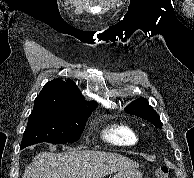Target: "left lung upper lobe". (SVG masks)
<instances>
[{"mask_svg": "<svg viewBox=\"0 0 194 178\" xmlns=\"http://www.w3.org/2000/svg\"><path fill=\"white\" fill-rule=\"evenodd\" d=\"M125 111L128 114H133L135 116H139L145 120H148L156 127L161 128L162 123L160 121V116L156 113V111L148 104L147 99L139 98L135 101L131 102L126 108Z\"/></svg>", "mask_w": 194, "mask_h": 178, "instance_id": "left-lung-upper-lobe-1", "label": "left lung upper lobe"}]
</instances>
